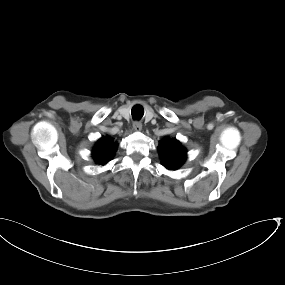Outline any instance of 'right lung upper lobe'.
<instances>
[{
	"label": "right lung upper lobe",
	"mask_w": 285,
	"mask_h": 285,
	"mask_svg": "<svg viewBox=\"0 0 285 285\" xmlns=\"http://www.w3.org/2000/svg\"><path fill=\"white\" fill-rule=\"evenodd\" d=\"M117 145L109 138L102 137L95 144L92 155L95 162L99 165H104L110 161L116 151Z\"/></svg>",
	"instance_id": "cb5924a9"
}]
</instances>
